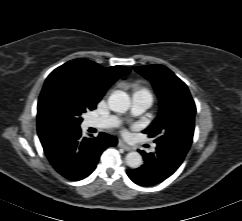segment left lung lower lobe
<instances>
[{"mask_svg":"<svg viewBox=\"0 0 242 221\" xmlns=\"http://www.w3.org/2000/svg\"><path fill=\"white\" fill-rule=\"evenodd\" d=\"M144 164L137 169H128L129 178L141 186H153L171 176L182 164L187 152L177 146L157 144L155 153H145Z\"/></svg>","mask_w":242,"mask_h":221,"instance_id":"obj_1","label":"left lung lower lobe"}]
</instances>
